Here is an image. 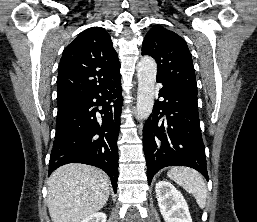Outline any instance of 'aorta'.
Masks as SVG:
<instances>
[{"instance_id": "obj_1", "label": "aorta", "mask_w": 257, "mask_h": 222, "mask_svg": "<svg viewBox=\"0 0 257 222\" xmlns=\"http://www.w3.org/2000/svg\"><path fill=\"white\" fill-rule=\"evenodd\" d=\"M138 92L137 118L147 119L154 106L157 65L152 57L144 56L137 64Z\"/></svg>"}]
</instances>
